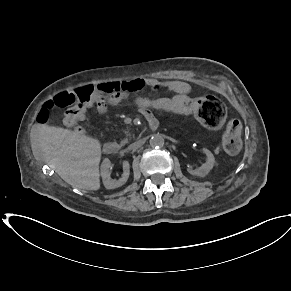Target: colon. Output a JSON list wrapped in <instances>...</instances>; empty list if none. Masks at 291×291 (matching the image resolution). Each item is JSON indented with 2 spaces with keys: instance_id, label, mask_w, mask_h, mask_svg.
<instances>
[{
  "instance_id": "colon-1",
  "label": "colon",
  "mask_w": 291,
  "mask_h": 291,
  "mask_svg": "<svg viewBox=\"0 0 291 291\" xmlns=\"http://www.w3.org/2000/svg\"><path fill=\"white\" fill-rule=\"evenodd\" d=\"M126 89L124 83H107L101 86H84L74 91H63L44 103L37 116V122L45 123L49 114L56 108L65 109L63 121L66 125L81 132L79 121L85 111L109 97L120 94ZM146 107H155L159 112L175 114L176 118H186L196 114L197 119L209 129L219 128L226 116L224 105L213 96L202 98H189L188 96H177L168 98L163 94L159 98H146L140 100ZM241 123L233 119L228 123L223 137V146L229 153H236L241 145L240 140Z\"/></svg>"
}]
</instances>
